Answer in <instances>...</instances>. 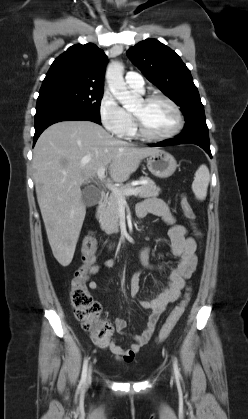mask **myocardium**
Masks as SVG:
<instances>
[{
    "mask_svg": "<svg viewBox=\"0 0 248 419\" xmlns=\"http://www.w3.org/2000/svg\"><path fill=\"white\" fill-rule=\"evenodd\" d=\"M157 100H161L169 104L176 114L177 122L175 127L170 132L163 135L151 134L146 130L144 123L139 115L132 113V116L135 130L140 137L151 141H165L177 136L182 131L184 127V116L179 105L173 99L164 94H151L142 98L144 103H151Z\"/></svg>",
    "mask_w": 248,
    "mask_h": 419,
    "instance_id": "1",
    "label": "myocardium"
}]
</instances>
